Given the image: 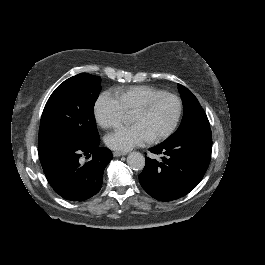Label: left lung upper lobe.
<instances>
[{
  "mask_svg": "<svg viewBox=\"0 0 265 265\" xmlns=\"http://www.w3.org/2000/svg\"><path fill=\"white\" fill-rule=\"evenodd\" d=\"M178 89L183 101V119L177 131L167 140L180 138L197 130L210 129L208 118L197 98L180 84H178Z\"/></svg>",
  "mask_w": 265,
  "mask_h": 265,
  "instance_id": "left-lung-upper-lobe-1",
  "label": "left lung upper lobe"
}]
</instances>
